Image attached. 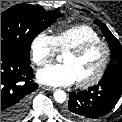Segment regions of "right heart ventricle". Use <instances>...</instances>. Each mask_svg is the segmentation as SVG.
<instances>
[{
  "mask_svg": "<svg viewBox=\"0 0 122 122\" xmlns=\"http://www.w3.org/2000/svg\"><path fill=\"white\" fill-rule=\"evenodd\" d=\"M58 50L68 51L86 42L100 40L95 29L89 25L80 24L59 30L55 36Z\"/></svg>",
  "mask_w": 122,
  "mask_h": 122,
  "instance_id": "e07e8e85",
  "label": "right heart ventricle"
}]
</instances>
